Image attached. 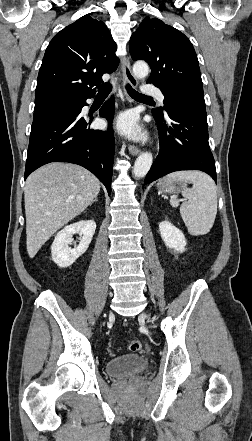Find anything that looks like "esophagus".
I'll list each match as a JSON object with an SVG mask.
<instances>
[{"label": "esophagus", "mask_w": 252, "mask_h": 441, "mask_svg": "<svg viewBox=\"0 0 252 441\" xmlns=\"http://www.w3.org/2000/svg\"><path fill=\"white\" fill-rule=\"evenodd\" d=\"M123 68H124L123 69V73H124L125 82L130 84L132 87H137L138 82H137L136 77L133 75V73L131 71L129 57H125L123 59ZM124 92H125L127 101L129 103H131V99H130V97L128 95V92H127V90L125 88V85H124ZM129 152H130L131 155L136 156V155H138L141 152V149L138 148L135 145H130L129 146Z\"/></svg>", "instance_id": "34e87169"}]
</instances>
